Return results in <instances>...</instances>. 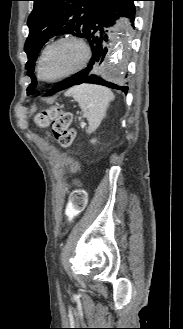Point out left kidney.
Segmentation results:
<instances>
[{
    "label": "left kidney",
    "instance_id": "left-kidney-1",
    "mask_svg": "<svg viewBox=\"0 0 183 329\" xmlns=\"http://www.w3.org/2000/svg\"><path fill=\"white\" fill-rule=\"evenodd\" d=\"M91 143H96V139H92L91 140Z\"/></svg>",
    "mask_w": 183,
    "mask_h": 329
}]
</instances>
